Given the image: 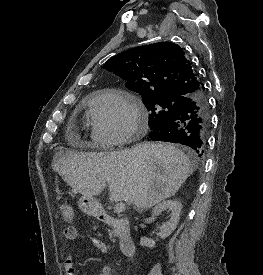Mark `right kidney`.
<instances>
[{"label":"right kidney","instance_id":"obj_1","mask_svg":"<svg viewBox=\"0 0 263 275\" xmlns=\"http://www.w3.org/2000/svg\"><path fill=\"white\" fill-rule=\"evenodd\" d=\"M182 209V204L179 200H166L158 203L152 210L154 216H159L163 211H171L170 220L162 224L160 227V237L161 239L167 238L176 229L177 224L180 219V213ZM140 245L149 248L155 247V241L146 237L140 239Z\"/></svg>","mask_w":263,"mask_h":275}]
</instances>
